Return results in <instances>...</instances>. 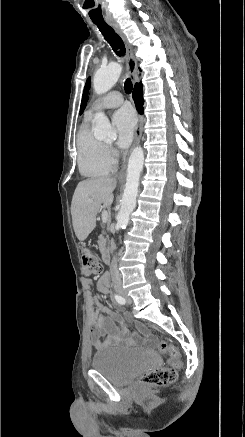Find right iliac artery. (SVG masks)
<instances>
[{
    "label": "right iliac artery",
    "instance_id": "82829eb1",
    "mask_svg": "<svg viewBox=\"0 0 245 437\" xmlns=\"http://www.w3.org/2000/svg\"><path fill=\"white\" fill-rule=\"evenodd\" d=\"M115 300L119 303V304H121V305H124L125 304V299L122 297V296H120V295H117V294H115Z\"/></svg>",
    "mask_w": 245,
    "mask_h": 437
}]
</instances>
